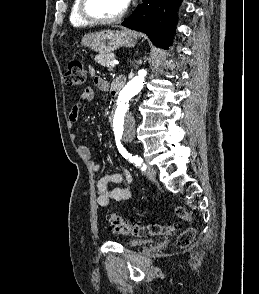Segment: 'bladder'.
Returning a JSON list of instances; mask_svg holds the SVG:
<instances>
[{"instance_id": "31cf9c89", "label": "bladder", "mask_w": 259, "mask_h": 294, "mask_svg": "<svg viewBox=\"0 0 259 294\" xmlns=\"http://www.w3.org/2000/svg\"><path fill=\"white\" fill-rule=\"evenodd\" d=\"M146 242L148 241L147 240H129L125 243V245L129 248H134V247L141 246L145 244Z\"/></svg>"}]
</instances>
